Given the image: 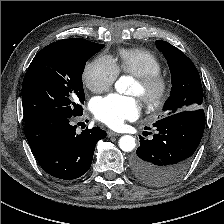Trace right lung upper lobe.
I'll return each instance as SVG.
<instances>
[{"label": "right lung upper lobe", "mask_w": 224, "mask_h": 224, "mask_svg": "<svg viewBox=\"0 0 224 224\" xmlns=\"http://www.w3.org/2000/svg\"><path fill=\"white\" fill-rule=\"evenodd\" d=\"M82 40H83L82 38H71V39L59 40L57 42H60L63 44H69V43H78V42H81Z\"/></svg>", "instance_id": "1"}]
</instances>
